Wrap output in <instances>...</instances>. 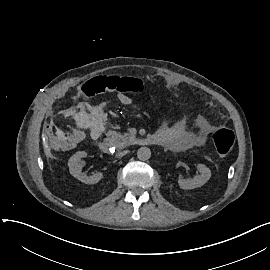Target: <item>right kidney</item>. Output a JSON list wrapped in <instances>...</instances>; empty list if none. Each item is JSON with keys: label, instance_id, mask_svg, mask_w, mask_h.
Here are the masks:
<instances>
[{"label": "right kidney", "instance_id": "obj_1", "mask_svg": "<svg viewBox=\"0 0 270 270\" xmlns=\"http://www.w3.org/2000/svg\"><path fill=\"white\" fill-rule=\"evenodd\" d=\"M86 157L87 153L85 151L76 152L74 155H72L68 161L69 171L79 181L87 185H94L99 183L101 179H103L104 175L102 172H96L92 176L84 175L82 173L84 163H80V160Z\"/></svg>", "mask_w": 270, "mask_h": 270}]
</instances>
